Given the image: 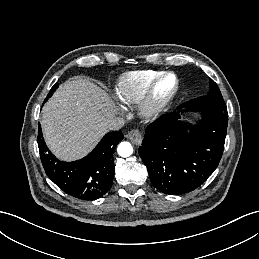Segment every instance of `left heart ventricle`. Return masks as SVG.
<instances>
[{
    "instance_id": "b2bd125f",
    "label": "left heart ventricle",
    "mask_w": 259,
    "mask_h": 259,
    "mask_svg": "<svg viewBox=\"0 0 259 259\" xmlns=\"http://www.w3.org/2000/svg\"><path fill=\"white\" fill-rule=\"evenodd\" d=\"M174 86V78L169 76L160 82L156 89V96L162 98L166 96Z\"/></svg>"
}]
</instances>
